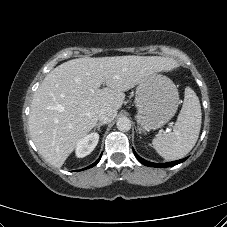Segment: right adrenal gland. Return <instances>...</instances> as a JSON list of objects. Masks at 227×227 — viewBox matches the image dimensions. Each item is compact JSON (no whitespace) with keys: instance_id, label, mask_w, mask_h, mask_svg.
Returning a JSON list of instances; mask_svg holds the SVG:
<instances>
[{"instance_id":"2a0ac1e0","label":"right adrenal gland","mask_w":227,"mask_h":227,"mask_svg":"<svg viewBox=\"0 0 227 227\" xmlns=\"http://www.w3.org/2000/svg\"><path fill=\"white\" fill-rule=\"evenodd\" d=\"M104 123H97L95 126H94V129L97 128V130L100 132V127L103 126Z\"/></svg>"}]
</instances>
